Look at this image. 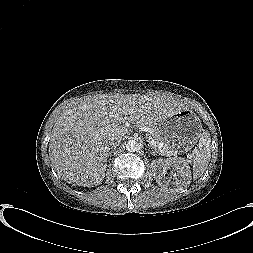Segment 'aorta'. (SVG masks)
<instances>
[{"mask_svg":"<svg viewBox=\"0 0 253 253\" xmlns=\"http://www.w3.org/2000/svg\"><path fill=\"white\" fill-rule=\"evenodd\" d=\"M126 150L128 152H137L138 150H140V145L135 140H129L126 144Z\"/></svg>","mask_w":253,"mask_h":253,"instance_id":"762f6f07","label":"aorta"}]
</instances>
